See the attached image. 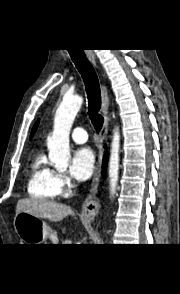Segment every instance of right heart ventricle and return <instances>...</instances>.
Instances as JSON below:
<instances>
[{
  "label": "right heart ventricle",
  "mask_w": 180,
  "mask_h": 294,
  "mask_svg": "<svg viewBox=\"0 0 180 294\" xmlns=\"http://www.w3.org/2000/svg\"><path fill=\"white\" fill-rule=\"evenodd\" d=\"M56 172L51 168L40 152L36 154L30 165L27 192L30 196L39 199H53L58 195L55 182Z\"/></svg>",
  "instance_id": "right-heart-ventricle-1"
}]
</instances>
